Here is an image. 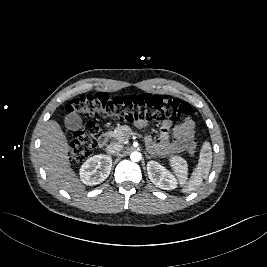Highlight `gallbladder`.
<instances>
[{"instance_id": "gallbladder-1", "label": "gallbladder", "mask_w": 267, "mask_h": 267, "mask_svg": "<svg viewBox=\"0 0 267 267\" xmlns=\"http://www.w3.org/2000/svg\"><path fill=\"white\" fill-rule=\"evenodd\" d=\"M64 125L67 130H79L82 127V118L77 114H69L64 118Z\"/></svg>"}]
</instances>
